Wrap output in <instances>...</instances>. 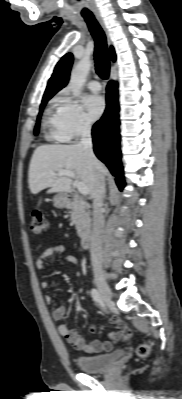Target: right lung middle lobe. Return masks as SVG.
<instances>
[{"label": "right lung middle lobe", "mask_w": 182, "mask_h": 399, "mask_svg": "<svg viewBox=\"0 0 182 399\" xmlns=\"http://www.w3.org/2000/svg\"><path fill=\"white\" fill-rule=\"evenodd\" d=\"M49 99H50V98H45V99L42 100V103H41V106H40V111H39V114H38V117H37L36 126H35V129H34V134H35V135H37V134L39 133L40 118H41V115H42L44 106L46 105V103H47V101H48Z\"/></svg>", "instance_id": "dd1d6c3e"}]
</instances>
